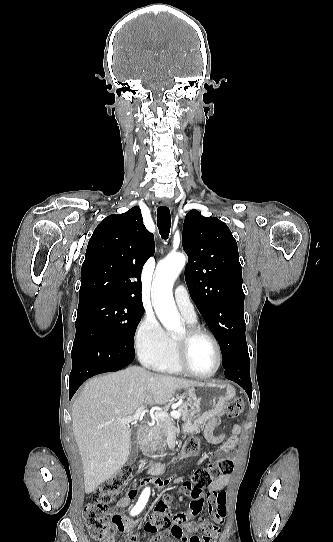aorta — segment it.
I'll return each instance as SVG.
<instances>
[{
	"label": "aorta",
	"mask_w": 333,
	"mask_h": 542,
	"mask_svg": "<svg viewBox=\"0 0 333 542\" xmlns=\"http://www.w3.org/2000/svg\"><path fill=\"white\" fill-rule=\"evenodd\" d=\"M184 254H169L156 268L153 286L154 310L166 330H181V316L175 306L172 286L185 266Z\"/></svg>",
	"instance_id": "1"
}]
</instances>
